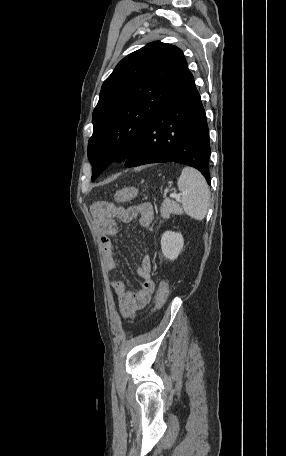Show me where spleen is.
<instances>
[{"label": "spleen", "mask_w": 286, "mask_h": 456, "mask_svg": "<svg viewBox=\"0 0 286 456\" xmlns=\"http://www.w3.org/2000/svg\"><path fill=\"white\" fill-rule=\"evenodd\" d=\"M177 185L182 194V207L191 218L201 221L205 218L210 202V191L203 175L196 169L185 167Z\"/></svg>", "instance_id": "spleen-1"}]
</instances>
